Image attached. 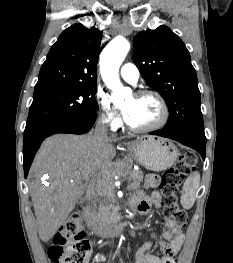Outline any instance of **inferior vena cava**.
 Segmentation results:
<instances>
[{
    "mask_svg": "<svg viewBox=\"0 0 233 263\" xmlns=\"http://www.w3.org/2000/svg\"><path fill=\"white\" fill-rule=\"evenodd\" d=\"M107 131H108L107 118L102 117L98 120L95 130L93 132V137L99 146H102L107 142L108 140ZM101 185H102V181H99L98 185L95 188H91L88 191V196L90 197L91 195H94L95 189L100 188Z\"/></svg>",
    "mask_w": 233,
    "mask_h": 263,
    "instance_id": "inferior-vena-cava-1",
    "label": "inferior vena cava"
}]
</instances>
